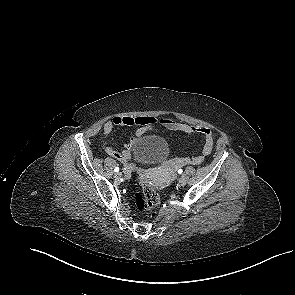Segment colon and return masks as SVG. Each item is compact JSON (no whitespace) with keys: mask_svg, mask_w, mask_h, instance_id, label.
<instances>
[{"mask_svg":"<svg viewBox=\"0 0 295 295\" xmlns=\"http://www.w3.org/2000/svg\"><path fill=\"white\" fill-rule=\"evenodd\" d=\"M160 202L158 193L147 183L134 196V204L139 212L152 211Z\"/></svg>","mask_w":295,"mask_h":295,"instance_id":"5ec220e1","label":"colon"}]
</instances>
